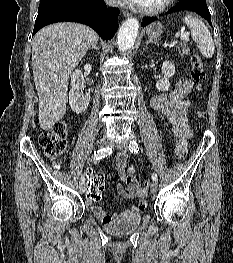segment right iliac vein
Segmentation results:
<instances>
[{"mask_svg":"<svg viewBox=\"0 0 233 263\" xmlns=\"http://www.w3.org/2000/svg\"><path fill=\"white\" fill-rule=\"evenodd\" d=\"M112 143H113V141L108 137L102 138L100 141L101 147H104V148L111 146ZM79 191H80V193H84L86 191V186L84 183H80Z\"/></svg>","mask_w":233,"mask_h":263,"instance_id":"63e3f726","label":"right iliac vein"}]
</instances>
